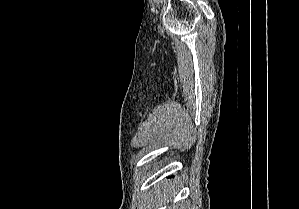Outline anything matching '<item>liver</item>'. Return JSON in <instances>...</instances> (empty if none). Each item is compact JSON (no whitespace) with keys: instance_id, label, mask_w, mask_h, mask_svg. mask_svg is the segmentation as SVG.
<instances>
[{"instance_id":"6515ba94","label":"liver","mask_w":299,"mask_h":209,"mask_svg":"<svg viewBox=\"0 0 299 209\" xmlns=\"http://www.w3.org/2000/svg\"><path fill=\"white\" fill-rule=\"evenodd\" d=\"M167 192H168V190L166 191L165 188H163L162 193L160 191L157 193V196L160 199L161 203L164 202V200H165V198L167 196Z\"/></svg>"}]
</instances>
